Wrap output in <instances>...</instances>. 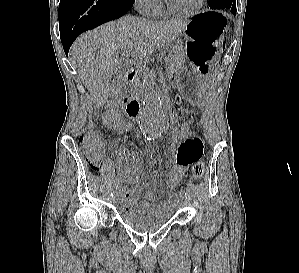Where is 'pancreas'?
I'll list each match as a JSON object with an SVG mask.
<instances>
[{
    "instance_id": "1",
    "label": "pancreas",
    "mask_w": 299,
    "mask_h": 273,
    "mask_svg": "<svg viewBox=\"0 0 299 273\" xmlns=\"http://www.w3.org/2000/svg\"><path fill=\"white\" fill-rule=\"evenodd\" d=\"M171 58L168 60L166 71L167 73H173L177 69L181 68L185 63V50L182 46H178L171 54Z\"/></svg>"
}]
</instances>
